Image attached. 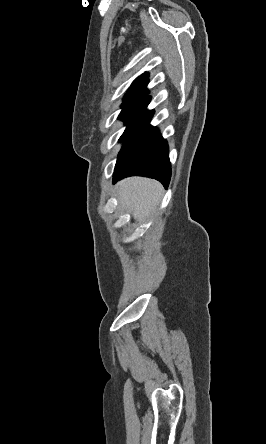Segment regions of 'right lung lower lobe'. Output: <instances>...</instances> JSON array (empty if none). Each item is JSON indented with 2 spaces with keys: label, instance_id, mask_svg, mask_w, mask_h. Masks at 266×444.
<instances>
[{
  "label": "right lung lower lobe",
  "instance_id": "obj_1",
  "mask_svg": "<svg viewBox=\"0 0 266 444\" xmlns=\"http://www.w3.org/2000/svg\"><path fill=\"white\" fill-rule=\"evenodd\" d=\"M129 176L154 178L168 187L171 178L168 144L155 127L147 126L119 153L113 183Z\"/></svg>",
  "mask_w": 266,
  "mask_h": 444
}]
</instances>
